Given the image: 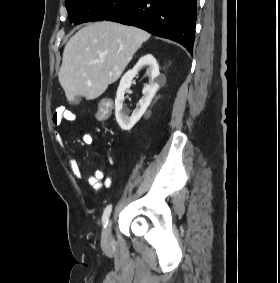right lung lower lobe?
Masks as SVG:
<instances>
[{
	"label": "right lung lower lobe",
	"instance_id": "1",
	"mask_svg": "<svg viewBox=\"0 0 280 283\" xmlns=\"http://www.w3.org/2000/svg\"><path fill=\"white\" fill-rule=\"evenodd\" d=\"M196 19L197 0H132L105 20L176 41L192 53Z\"/></svg>",
	"mask_w": 280,
	"mask_h": 283
}]
</instances>
